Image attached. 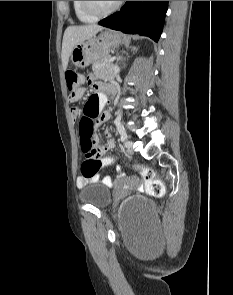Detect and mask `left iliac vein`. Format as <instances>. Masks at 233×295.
<instances>
[{
	"label": "left iliac vein",
	"mask_w": 233,
	"mask_h": 295,
	"mask_svg": "<svg viewBox=\"0 0 233 295\" xmlns=\"http://www.w3.org/2000/svg\"><path fill=\"white\" fill-rule=\"evenodd\" d=\"M130 141V140H129ZM131 143L129 144V145H125V147L127 148V152L129 153V154H133V152H134V149H133V142L132 141H130Z\"/></svg>",
	"instance_id": "4c4485c4"
}]
</instances>
